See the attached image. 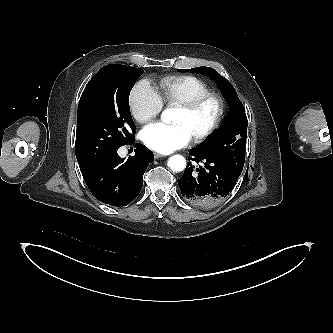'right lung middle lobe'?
<instances>
[{"label":"right lung middle lobe","instance_id":"obj_1","mask_svg":"<svg viewBox=\"0 0 333 333\" xmlns=\"http://www.w3.org/2000/svg\"><path fill=\"white\" fill-rule=\"evenodd\" d=\"M141 68L110 64L87 84L78 105L75 151L85 167L133 140L129 94Z\"/></svg>","mask_w":333,"mask_h":333}]
</instances>
